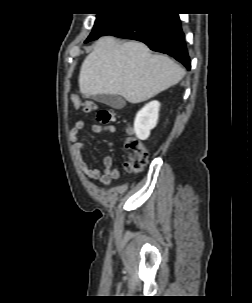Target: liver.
<instances>
[{
  "label": "liver",
  "mask_w": 252,
  "mask_h": 303,
  "mask_svg": "<svg viewBox=\"0 0 252 303\" xmlns=\"http://www.w3.org/2000/svg\"><path fill=\"white\" fill-rule=\"evenodd\" d=\"M185 71L165 55H152L146 45L100 38L85 58L79 74L86 97L112 94L136 104L176 85Z\"/></svg>",
  "instance_id": "liver-1"
}]
</instances>
